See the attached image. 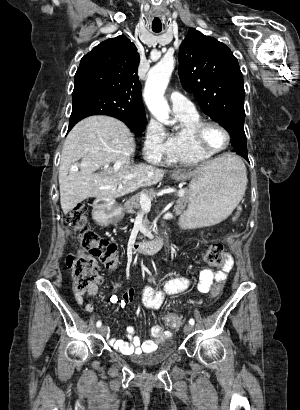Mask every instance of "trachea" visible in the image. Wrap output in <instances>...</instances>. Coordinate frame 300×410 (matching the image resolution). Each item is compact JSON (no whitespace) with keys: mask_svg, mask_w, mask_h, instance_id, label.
<instances>
[{"mask_svg":"<svg viewBox=\"0 0 300 410\" xmlns=\"http://www.w3.org/2000/svg\"><path fill=\"white\" fill-rule=\"evenodd\" d=\"M153 31H154L155 33H159V32H161V29H153Z\"/></svg>","mask_w":300,"mask_h":410,"instance_id":"trachea-1","label":"trachea"}]
</instances>
